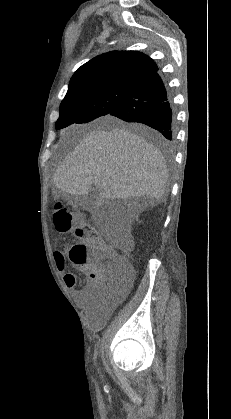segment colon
I'll return each instance as SVG.
<instances>
[{
  "mask_svg": "<svg viewBox=\"0 0 231 419\" xmlns=\"http://www.w3.org/2000/svg\"><path fill=\"white\" fill-rule=\"evenodd\" d=\"M54 222L58 231L73 232L79 239L69 250V262L85 265L87 273L98 286L107 284L114 291L130 279L132 267L125 252L117 251L105 242L87 221L75 217L66 208L58 207ZM55 258L66 262L62 253H56Z\"/></svg>",
  "mask_w": 231,
  "mask_h": 419,
  "instance_id": "1",
  "label": "colon"
}]
</instances>
